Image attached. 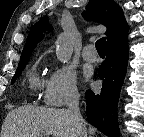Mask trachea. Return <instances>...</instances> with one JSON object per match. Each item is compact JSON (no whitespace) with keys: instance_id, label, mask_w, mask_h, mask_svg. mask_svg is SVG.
Masks as SVG:
<instances>
[{"instance_id":"obj_1","label":"trachea","mask_w":144,"mask_h":137,"mask_svg":"<svg viewBox=\"0 0 144 137\" xmlns=\"http://www.w3.org/2000/svg\"><path fill=\"white\" fill-rule=\"evenodd\" d=\"M105 44H106L105 38H101L95 43V47L98 53L105 54Z\"/></svg>"}]
</instances>
